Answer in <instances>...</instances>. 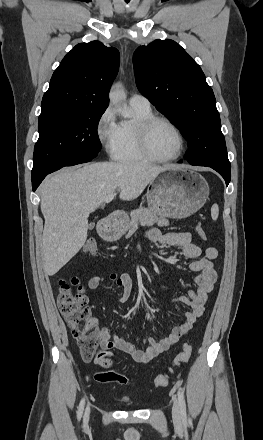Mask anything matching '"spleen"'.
<instances>
[{
  "label": "spleen",
  "mask_w": 263,
  "mask_h": 440,
  "mask_svg": "<svg viewBox=\"0 0 263 440\" xmlns=\"http://www.w3.org/2000/svg\"><path fill=\"white\" fill-rule=\"evenodd\" d=\"M218 215H219V207H218L217 204H214V205L211 207V217H212V219H213L214 221H216L217 218H218Z\"/></svg>",
  "instance_id": "spleen-1"
}]
</instances>
